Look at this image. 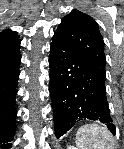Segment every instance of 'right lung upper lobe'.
Returning a JSON list of instances; mask_svg holds the SVG:
<instances>
[{
    "instance_id": "cb5924a9",
    "label": "right lung upper lobe",
    "mask_w": 124,
    "mask_h": 149,
    "mask_svg": "<svg viewBox=\"0 0 124 149\" xmlns=\"http://www.w3.org/2000/svg\"><path fill=\"white\" fill-rule=\"evenodd\" d=\"M17 38V33L11 30H5L4 32L0 33V40H8Z\"/></svg>"
}]
</instances>
